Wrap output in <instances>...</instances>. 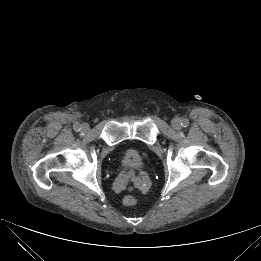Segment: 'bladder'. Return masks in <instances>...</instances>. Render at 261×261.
Listing matches in <instances>:
<instances>
[{"label": "bladder", "mask_w": 261, "mask_h": 261, "mask_svg": "<svg viewBox=\"0 0 261 261\" xmlns=\"http://www.w3.org/2000/svg\"><path fill=\"white\" fill-rule=\"evenodd\" d=\"M135 158H136L135 154H130V155H129V159H130V160L133 161Z\"/></svg>", "instance_id": "1"}]
</instances>
